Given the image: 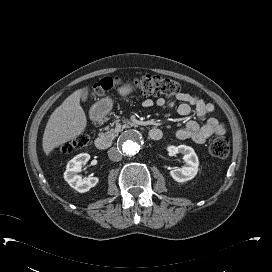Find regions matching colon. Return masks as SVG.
<instances>
[{"label":"colon","instance_id":"5ec220e1","mask_svg":"<svg viewBox=\"0 0 272 272\" xmlns=\"http://www.w3.org/2000/svg\"><path fill=\"white\" fill-rule=\"evenodd\" d=\"M121 83L122 80L119 78L105 77L94 86L93 93L95 96L103 95ZM134 84L143 95L149 97H172L176 95L180 89L179 84L175 80L155 75H142L134 80ZM88 141L89 137L85 133L77 137L79 147L86 145ZM67 149L68 147H66V151ZM209 151L215 157H226L230 151L228 138L218 136L213 139L210 143Z\"/></svg>","mask_w":272,"mask_h":272}]
</instances>
